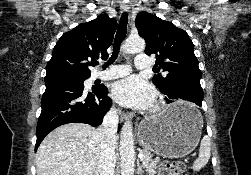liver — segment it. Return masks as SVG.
<instances>
[{
    "instance_id": "6515ba94",
    "label": "liver",
    "mask_w": 251,
    "mask_h": 175,
    "mask_svg": "<svg viewBox=\"0 0 251 175\" xmlns=\"http://www.w3.org/2000/svg\"><path fill=\"white\" fill-rule=\"evenodd\" d=\"M96 135L87 123H66L50 131L37 149V175H100Z\"/></svg>"
}]
</instances>
